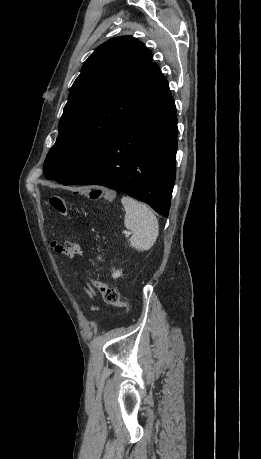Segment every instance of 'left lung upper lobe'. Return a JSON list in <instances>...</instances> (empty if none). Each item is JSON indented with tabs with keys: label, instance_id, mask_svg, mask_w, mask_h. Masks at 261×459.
<instances>
[{
	"label": "left lung upper lobe",
	"instance_id": "1",
	"mask_svg": "<svg viewBox=\"0 0 261 459\" xmlns=\"http://www.w3.org/2000/svg\"><path fill=\"white\" fill-rule=\"evenodd\" d=\"M164 80L138 39L120 36L100 45L71 87L45 178L62 183L89 164Z\"/></svg>",
	"mask_w": 261,
	"mask_h": 459
}]
</instances>
